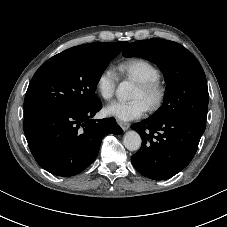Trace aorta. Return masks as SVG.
Returning <instances> with one entry per match:
<instances>
[{"label":"aorta","mask_w":227,"mask_h":227,"mask_svg":"<svg viewBox=\"0 0 227 227\" xmlns=\"http://www.w3.org/2000/svg\"><path fill=\"white\" fill-rule=\"evenodd\" d=\"M134 86L131 82L123 81L118 85L117 95L120 99L127 100L131 98ZM141 137L136 131H128L124 135L123 144L129 151H137L141 147Z\"/></svg>","instance_id":"obj_1"}]
</instances>
